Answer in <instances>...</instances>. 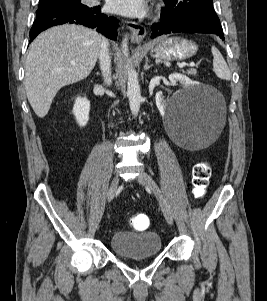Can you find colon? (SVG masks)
Returning <instances> with one entry per match:
<instances>
[{
    "mask_svg": "<svg viewBox=\"0 0 267 301\" xmlns=\"http://www.w3.org/2000/svg\"><path fill=\"white\" fill-rule=\"evenodd\" d=\"M211 167L207 162L198 163L193 170V192L196 198H202L209 185ZM131 225L136 230H144L149 226V218L146 214L137 213L132 216Z\"/></svg>",
    "mask_w": 267,
    "mask_h": 301,
    "instance_id": "obj_1",
    "label": "colon"
}]
</instances>
